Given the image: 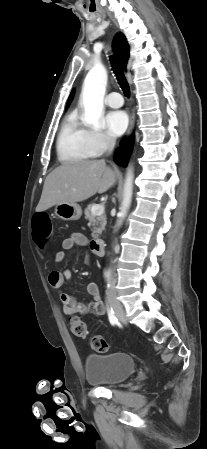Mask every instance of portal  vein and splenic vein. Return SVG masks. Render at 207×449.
<instances>
[{
	"label": "portal vein and splenic vein",
	"instance_id": "obj_1",
	"mask_svg": "<svg viewBox=\"0 0 207 449\" xmlns=\"http://www.w3.org/2000/svg\"><path fill=\"white\" fill-rule=\"evenodd\" d=\"M104 209L105 208L103 204H97L92 207V213L95 215H101L104 213Z\"/></svg>",
	"mask_w": 207,
	"mask_h": 449
}]
</instances>
